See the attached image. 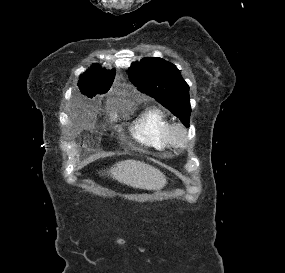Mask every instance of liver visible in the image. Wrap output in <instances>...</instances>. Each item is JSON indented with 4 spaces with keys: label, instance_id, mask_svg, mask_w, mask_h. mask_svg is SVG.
Returning <instances> with one entry per match:
<instances>
[{
    "label": "liver",
    "instance_id": "liver-1",
    "mask_svg": "<svg viewBox=\"0 0 285 273\" xmlns=\"http://www.w3.org/2000/svg\"><path fill=\"white\" fill-rule=\"evenodd\" d=\"M107 174L120 183L139 189L160 190L167 183L160 170L136 160L118 162Z\"/></svg>",
    "mask_w": 285,
    "mask_h": 273
}]
</instances>
